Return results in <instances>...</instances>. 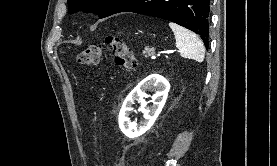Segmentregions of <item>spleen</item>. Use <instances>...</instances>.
Instances as JSON below:
<instances>
[{
  "mask_svg": "<svg viewBox=\"0 0 277 166\" xmlns=\"http://www.w3.org/2000/svg\"><path fill=\"white\" fill-rule=\"evenodd\" d=\"M169 27L175 35L176 47L179 49L180 55L202 62L205 57V48L199 37L176 23L170 22Z\"/></svg>",
  "mask_w": 277,
  "mask_h": 166,
  "instance_id": "spleen-1",
  "label": "spleen"
}]
</instances>
